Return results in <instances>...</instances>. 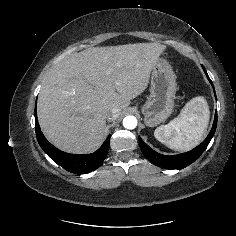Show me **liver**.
Segmentation results:
<instances>
[{
	"label": "liver",
	"mask_w": 236,
	"mask_h": 236,
	"mask_svg": "<svg viewBox=\"0 0 236 236\" xmlns=\"http://www.w3.org/2000/svg\"><path fill=\"white\" fill-rule=\"evenodd\" d=\"M166 49L159 43L91 47L61 61L47 75L38 119L45 137L69 153H89L102 142L108 113L122 110L148 86Z\"/></svg>",
	"instance_id": "obj_1"
}]
</instances>
